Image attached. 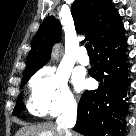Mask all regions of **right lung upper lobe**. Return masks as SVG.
<instances>
[{
  "instance_id": "cb5924a9",
  "label": "right lung upper lobe",
  "mask_w": 136,
  "mask_h": 136,
  "mask_svg": "<svg viewBox=\"0 0 136 136\" xmlns=\"http://www.w3.org/2000/svg\"><path fill=\"white\" fill-rule=\"evenodd\" d=\"M71 12L76 31L86 34V40L94 49L102 42L123 34L119 13L109 0H75ZM60 35V21L48 16L34 37L23 78L33 75L48 61L51 46L60 40Z\"/></svg>"
}]
</instances>
